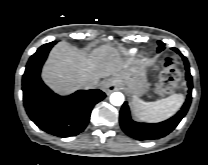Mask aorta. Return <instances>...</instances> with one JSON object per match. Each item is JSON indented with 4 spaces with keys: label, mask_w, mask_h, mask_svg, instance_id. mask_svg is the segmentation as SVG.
Listing matches in <instances>:
<instances>
[{
    "label": "aorta",
    "mask_w": 208,
    "mask_h": 165,
    "mask_svg": "<svg viewBox=\"0 0 208 165\" xmlns=\"http://www.w3.org/2000/svg\"><path fill=\"white\" fill-rule=\"evenodd\" d=\"M110 102L114 106H121L124 102V95L121 92H114L110 96Z\"/></svg>",
    "instance_id": "obj_1"
}]
</instances>
